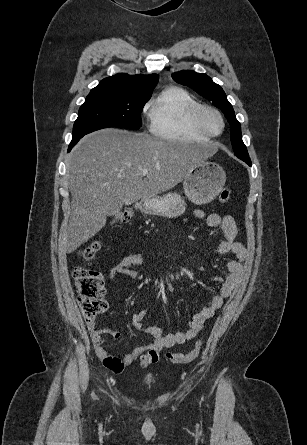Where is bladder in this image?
Segmentation results:
<instances>
[{
    "label": "bladder",
    "mask_w": 307,
    "mask_h": 445,
    "mask_svg": "<svg viewBox=\"0 0 307 445\" xmlns=\"http://www.w3.org/2000/svg\"><path fill=\"white\" fill-rule=\"evenodd\" d=\"M151 380H146L145 382H144V385H146V386H150L151 385Z\"/></svg>",
    "instance_id": "1"
}]
</instances>
